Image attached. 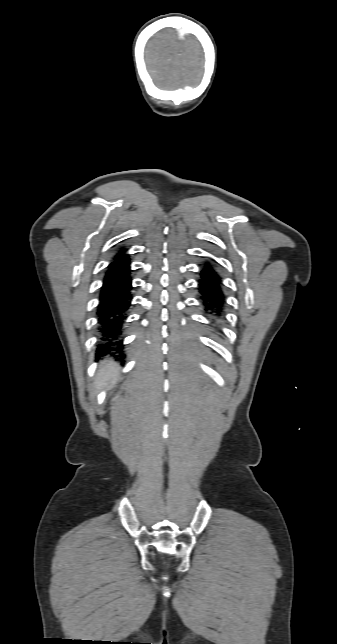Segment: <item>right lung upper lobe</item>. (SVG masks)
<instances>
[{
  "label": "right lung upper lobe",
  "mask_w": 337,
  "mask_h": 644,
  "mask_svg": "<svg viewBox=\"0 0 337 644\" xmlns=\"http://www.w3.org/2000/svg\"><path fill=\"white\" fill-rule=\"evenodd\" d=\"M125 252H126V249H121V250L117 253V255L115 256V258H119V257H122V256H126V255H124V253H125Z\"/></svg>",
  "instance_id": "cb5924a9"
}]
</instances>
